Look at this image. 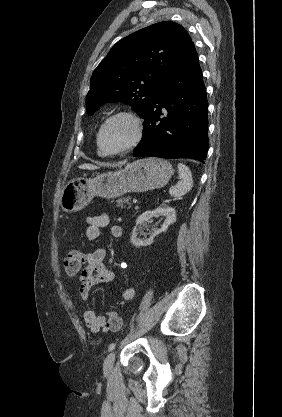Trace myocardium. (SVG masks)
<instances>
[{
    "label": "myocardium",
    "mask_w": 282,
    "mask_h": 417,
    "mask_svg": "<svg viewBox=\"0 0 282 417\" xmlns=\"http://www.w3.org/2000/svg\"><path fill=\"white\" fill-rule=\"evenodd\" d=\"M124 121L126 122L131 128V135L129 139L124 142L123 144L119 145L113 149H107L104 146L103 140L107 130L116 122ZM142 138V124L141 120L134 114L129 112H118L111 117H109L105 123L102 125L98 138H97V145L100 152L104 155H114L118 154L130 147L135 146Z\"/></svg>",
    "instance_id": "f54148a6"
}]
</instances>
